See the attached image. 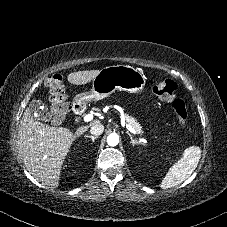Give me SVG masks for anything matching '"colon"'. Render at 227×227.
Returning a JSON list of instances; mask_svg holds the SVG:
<instances>
[{
    "label": "colon",
    "mask_w": 227,
    "mask_h": 227,
    "mask_svg": "<svg viewBox=\"0 0 227 227\" xmlns=\"http://www.w3.org/2000/svg\"><path fill=\"white\" fill-rule=\"evenodd\" d=\"M49 91L50 114L49 119L52 124H60L64 121L69 105L65 97L64 80L60 74H54L46 81ZM152 92L162 101L173 102V112L176 118L185 124L188 119V110L184 102L175 100L177 85L172 80H156L149 82Z\"/></svg>",
    "instance_id": "colon-1"
}]
</instances>
